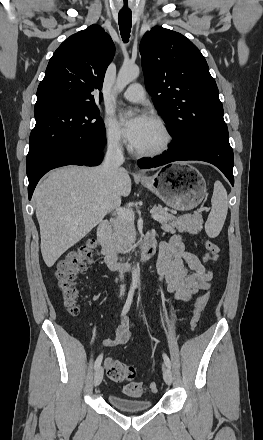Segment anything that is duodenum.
<instances>
[{"label": "duodenum", "instance_id": "410a0bca", "mask_svg": "<svg viewBox=\"0 0 263 440\" xmlns=\"http://www.w3.org/2000/svg\"><path fill=\"white\" fill-rule=\"evenodd\" d=\"M110 223L108 221H101L97 225L96 244L100 250L101 256L105 264L112 270H121L124 263L117 257L109 241ZM149 236V235H148ZM156 251V243L153 238H145L140 253V262H145L150 259Z\"/></svg>", "mask_w": 263, "mask_h": 440}]
</instances>
